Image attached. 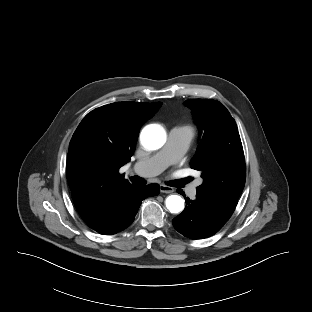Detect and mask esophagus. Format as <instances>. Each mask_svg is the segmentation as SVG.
<instances>
[{
	"label": "esophagus",
	"mask_w": 312,
	"mask_h": 312,
	"mask_svg": "<svg viewBox=\"0 0 312 312\" xmlns=\"http://www.w3.org/2000/svg\"><path fill=\"white\" fill-rule=\"evenodd\" d=\"M160 192L161 193H173L174 192V188L173 187H170V186H167V185H164V184H161L160 185Z\"/></svg>",
	"instance_id": "esophagus-1"
}]
</instances>
